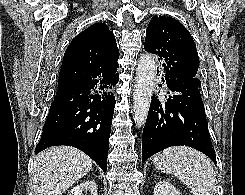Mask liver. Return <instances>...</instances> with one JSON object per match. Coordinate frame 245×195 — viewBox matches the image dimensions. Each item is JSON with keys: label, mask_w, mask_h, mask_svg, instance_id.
Listing matches in <instances>:
<instances>
[{"label": "liver", "mask_w": 245, "mask_h": 195, "mask_svg": "<svg viewBox=\"0 0 245 195\" xmlns=\"http://www.w3.org/2000/svg\"><path fill=\"white\" fill-rule=\"evenodd\" d=\"M93 161L71 146L49 148L35 158L33 189L36 195H62L92 168Z\"/></svg>", "instance_id": "obj_1"}]
</instances>
